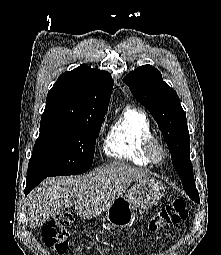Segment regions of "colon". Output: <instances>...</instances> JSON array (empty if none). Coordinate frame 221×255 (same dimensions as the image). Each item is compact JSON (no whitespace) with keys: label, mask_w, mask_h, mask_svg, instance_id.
Here are the masks:
<instances>
[{"label":"colon","mask_w":221,"mask_h":255,"mask_svg":"<svg viewBox=\"0 0 221 255\" xmlns=\"http://www.w3.org/2000/svg\"><path fill=\"white\" fill-rule=\"evenodd\" d=\"M188 216V207L184 199L177 198L172 203L163 207L148 222V231L157 232L159 229L177 224ZM73 216L68 210L55 214L42 228V236L46 246L59 255H64L69 247L70 227Z\"/></svg>","instance_id":"1"}]
</instances>
